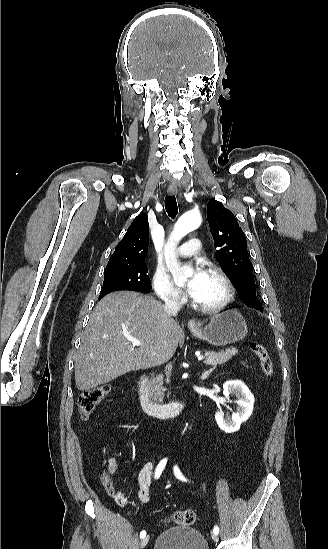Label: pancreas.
Masks as SVG:
<instances>
[{
  "label": "pancreas",
  "mask_w": 328,
  "mask_h": 549,
  "mask_svg": "<svg viewBox=\"0 0 328 549\" xmlns=\"http://www.w3.org/2000/svg\"><path fill=\"white\" fill-rule=\"evenodd\" d=\"M237 351L236 349H226V351H220V353H214V351H210V353H207L205 355V365H212L213 369L211 371H214L216 369L217 365H223V363H226V361H229L233 355H236ZM166 377H170V375H166ZM163 381H164V375H157L155 379H152L150 383L147 385L148 393L150 395H153L154 399H159V401H163L164 397V391H167L165 387H163ZM166 383H168L169 379H165Z\"/></svg>",
  "instance_id": "obj_1"
}]
</instances>
